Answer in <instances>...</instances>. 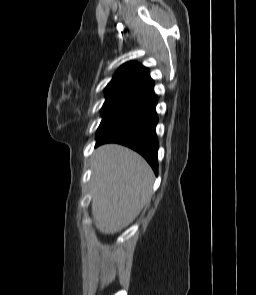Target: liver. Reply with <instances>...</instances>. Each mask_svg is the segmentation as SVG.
Listing matches in <instances>:
<instances>
[{
  "instance_id": "1",
  "label": "liver",
  "mask_w": 256,
  "mask_h": 295,
  "mask_svg": "<svg viewBox=\"0 0 256 295\" xmlns=\"http://www.w3.org/2000/svg\"><path fill=\"white\" fill-rule=\"evenodd\" d=\"M91 167L96 228L103 234L120 232L150 201L153 171L138 153L119 144L97 148Z\"/></svg>"
}]
</instances>
